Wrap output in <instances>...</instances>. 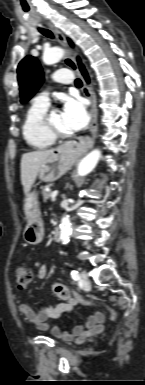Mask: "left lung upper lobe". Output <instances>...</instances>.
<instances>
[{"instance_id": "left-lung-upper-lobe-1", "label": "left lung upper lobe", "mask_w": 145, "mask_h": 385, "mask_svg": "<svg viewBox=\"0 0 145 385\" xmlns=\"http://www.w3.org/2000/svg\"><path fill=\"white\" fill-rule=\"evenodd\" d=\"M17 72L21 103H25L41 86L43 82V72L38 60L32 56H26L19 63Z\"/></svg>"}]
</instances>
